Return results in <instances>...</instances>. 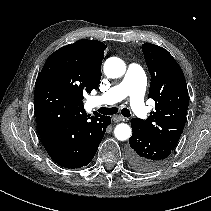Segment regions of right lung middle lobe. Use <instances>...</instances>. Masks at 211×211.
<instances>
[{
  "mask_svg": "<svg viewBox=\"0 0 211 211\" xmlns=\"http://www.w3.org/2000/svg\"><path fill=\"white\" fill-rule=\"evenodd\" d=\"M37 80L61 87L74 94L79 100L84 99V92L90 93L77 71L62 55H50Z\"/></svg>",
  "mask_w": 211,
  "mask_h": 211,
  "instance_id": "right-lung-middle-lobe-1",
  "label": "right lung middle lobe"
}]
</instances>
